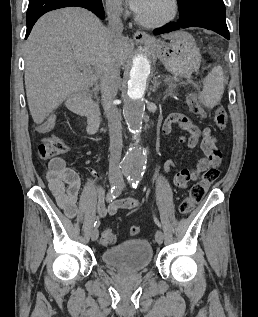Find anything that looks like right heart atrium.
<instances>
[{
    "instance_id": "obj_1",
    "label": "right heart atrium",
    "mask_w": 258,
    "mask_h": 317,
    "mask_svg": "<svg viewBox=\"0 0 258 317\" xmlns=\"http://www.w3.org/2000/svg\"><path fill=\"white\" fill-rule=\"evenodd\" d=\"M106 9L110 15L119 16L123 13V7L117 0H107Z\"/></svg>"
}]
</instances>
